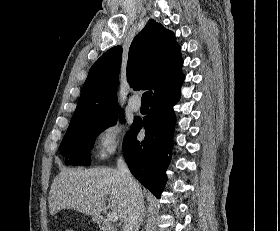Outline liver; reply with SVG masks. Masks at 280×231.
Returning a JSON list of instances; mask_svg holds the SVG:
<instances>
[{"label": "liver", "instance_id": "1", "mask_svg": "<svg viewBox=\"0 0 280 231\" xmlns=\"http://www.w3.org/2000/svg\"><path fill=\"white\" fill-rule=\"evenodd\" d=\"M107 195L109 205L120 221H125L130 209L131 195L118 169L113 167H63L53 179L48 197L51 215L63 209H77L94 219L102 213Z\"/></svg>", "mask_w": 280, "mask_h": 231}]
</instances>
